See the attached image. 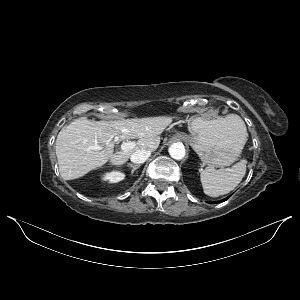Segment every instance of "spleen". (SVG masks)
I'll return each instance as SVG.
<instances>
[{"instance_id":"obj_1","label":"spleen","mask_w":300,"mask_h":300,"mask_svg":"<svg viewBox=\"0 0 300 300\" xmlns=\"http://www.w3.org/2000/svg\"><path fill=\"white\" fill-rule=\"evenodd\" d=\"M234 126L243 134L244 143L247 141L246 125L242 118L235 114L227 116ZM247 161L242 159L232 168L215 170L208 166L200 174L203 191L210 197H218L232 191L243 179L246 173Z\"/></svg>"}]
</instances>
